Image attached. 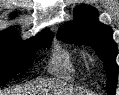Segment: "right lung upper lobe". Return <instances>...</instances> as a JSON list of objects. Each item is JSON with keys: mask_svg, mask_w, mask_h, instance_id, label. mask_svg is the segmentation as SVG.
Segmentation results:
<instances>
[{"mask_svg": "<svg viewBox=\"0 0 119 95\" xmlns=\"http://www.w3.org/2000/svg\"><path fill=\"white\" fill-rule=\"evenodd\" d=\"M41 33H47V31H44ZM0 36H5V37L17 36V33L14 29H8V30L4 31L3 33H0Z\"/></svg>", "mask_w": 119, "mask_h": 95, "instance_id": "cb5924a9", "label": "right lung upper lobe"}]
</instances>
